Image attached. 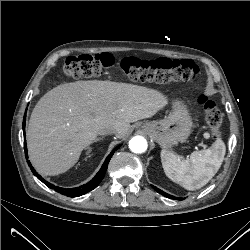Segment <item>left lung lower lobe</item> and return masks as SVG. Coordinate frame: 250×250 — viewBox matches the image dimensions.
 <instances>
[{"label":"left lung lower lobe","instance_id":"0a47b994","mask_svg":"<svg viewBox=\"0 0 250 250\" xmlns=\"http://www.w3.org/2000/svg\"><path fill=\"white\" fill-rule=\"evenodd\" d=\"M152 187H153V188L155 189V191H157L159 194H162L163 196H165V197H167V198L176 199V200H182V199H183V198H178V197H174V196H172V195H169V194L163 192L162 190L158 189L157 187H154V186H152Z\"/></svg>","mask_w":250,"mask_h":250}]
</instances>
